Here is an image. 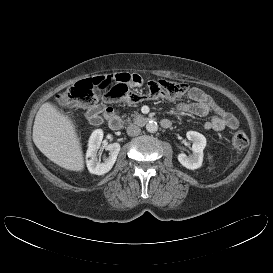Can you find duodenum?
<instances>
[{
  "label": "duodenum",
  "instance_id": "obj_1",
  "mask_svg": "<svg viewBox=\"0 0 273 273\" xmlns=\"http://www.w3.org/2000/svg\"><path fill=\"white\" fill-rule=\"evenodd\" d=\"M106 119L109 127L112 130H120L123 127L122 119L116 114H108L106 115ZM151 118L147 115L137 116L133 119V122L139 126H146L150 123ZM161 125L164 128H168L171 126V121L168 119H163L161 121Z\"/></svg>",
  "mask_w": 273,
  "mask_h": 273
}]
</instances>
